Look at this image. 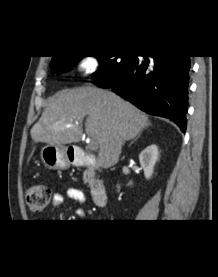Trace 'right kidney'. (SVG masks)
<instances>
[{
	"label": "right kidney",
	"instance_id": "1",
	"mask_svg": "<svg viewBox=\"0 0 218 277\" xmlns=\"http://www.w3.org/2000/svg\"><path fill=\"white\" fill-rule=\"evenodd\" d=\"M157 159H158V147L155 144L148 146L140 153L139 155L140 165L144 169V175L146 179L151 178ZM117 187L118 189L120 188L119 185H117Z\"/></svg>",
	"mask_w": 218,
	"mask_h": 277
}]
</instances>
